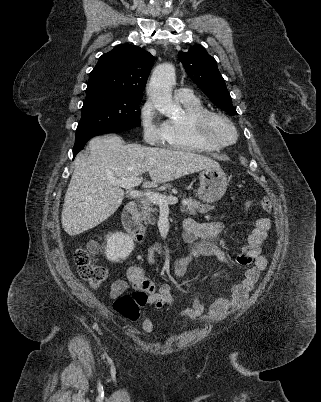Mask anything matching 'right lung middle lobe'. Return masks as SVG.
Wrapping results in <instances>:
<instances>
[{
  "instance_id": "right-lung-middle-lobe-1",
  "label": "right lung middle lobe",
  "mask_w": 321,
  "mask_h": 402,
  "mask_svg": "<svg viewBox=\"0 0 321 402\" xmlns=\"http://www.w3.org/2000/svg\"><path fill=\"white\" fill-rule=\"evenodd\" d=\"M141 100L104 90H86L76 133L108 127H139Z\"/></svg>"
}]
</instances>
